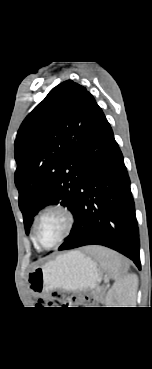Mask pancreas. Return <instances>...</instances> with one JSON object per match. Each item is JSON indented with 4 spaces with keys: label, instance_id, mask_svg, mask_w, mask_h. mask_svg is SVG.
Here are the masks:
<instances>
[{
    "label": "pancreas",
    "instance_id": "pancreas-1",
    "mask_svg": "<svg viewBox=\"0 0 152 369\" xmlns=\"http://www.w3.org/2000/svg\"><path fill=\"white\" fill-rule=\"evenodd\" d=\"M98 294H99V292L98 291H96V292H94V298L96 299V298H99V296H98Z\"/></svg>",
    "mask_w": 152,
    "mask_h": 369
}]
</instances>
